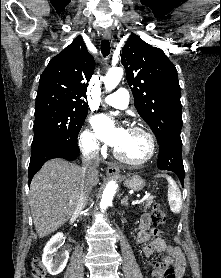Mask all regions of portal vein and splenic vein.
Wrapping results in <instances>:
<instances>
[{"label":"portal vein and splenic vein","mask_w":221,"mask_h":278,"mask_svg":"<svg viewBox=\"0 0 221 278\" xmlns=\"http://www.w3.org/2000/svg\"><path fill=\"white\" fill-rule=\"evenodd\" d=\"M146 198V197H145ZM143 201H144V199H140V200H136V201H133V205H140V204H142L143 203Z\"/></svg>","instance_id":"portal-vein-and-splenic-vein-1"}]
</instances>
